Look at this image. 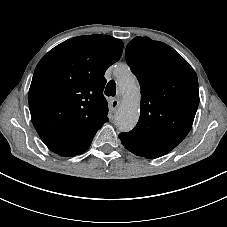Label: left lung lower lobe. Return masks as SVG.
<instances>
[{"label": "left lung lower lobe", "mask_w": 227, "mask_h": 227, "mask_svg": "<svg viewBox=\"0 0 227 227\" xmlns=\"http://www.w3.org/2000/svg\"><path fill=\"white\" fill-rule=\"evenodd\" d=\"M121 142L127 150H129L130 152H132L138 156L145 157V158H157V157L163 156V155L157 153L156 151L149 150L146 148H141V147L135 146L132 143H128L125 141H121Z\"/></svg>", "instance_id": "0a47b994"}]
</instances>
